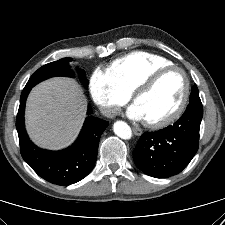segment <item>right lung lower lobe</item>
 I'll use <instances>...</instances> for the list:
<instances>
[{
	"mask_svg": "<svg viewBox=\"0 0 225 225\" xmlns=\"http://www.w3.org/2000/svg\"><path fill=\"white\" fill-rule=\"evenodd\" d=\"M31 88L25 86L22 91L16 119L23 159L40 177L53 184L67 186L82 180L94 167L99 140L108 122L89 116L80 136L71 147L62 151L40 149L30 141L24 126L25 102ZM91 112L89 107L88 115Z\"/></svg>",
	"mask_w": 225,
	"mask_h": 225,
	"instance_id": "obj_1",
	"label": "right lung lower lobe"
}]
</instances>
